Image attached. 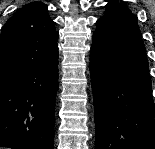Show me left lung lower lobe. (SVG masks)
Returning a JSON list of instances; mask_svg holds the SVG:
<instances>
[{
    "label": "left lung lower lobe",
    "instance_id": "1",
    "mask_svg": "<svg viewBox=\"0 0 155 149\" xmlns=\"http://www.w3.org/2000/svg\"><path fill=\"white\" fill-rule=\"evenodd\" d=\"M96 149H155V106L137 17L99 19L90 54Z\"/></svg>",
    "mask_w": 155,
    "mask_h": 149
}]
</instances>
